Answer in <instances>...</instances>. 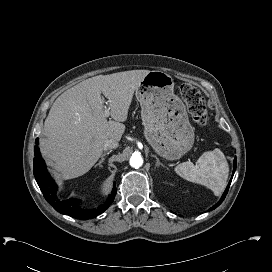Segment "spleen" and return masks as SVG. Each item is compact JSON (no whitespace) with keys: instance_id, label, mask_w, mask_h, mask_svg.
<instances>
[{"instance_id":"spleen-1","label":"spleen","mask_w":272,"mask_h":272,"mask_svg":"<svg viewBox=\"0 0 272 272\" xmlns=\"http://www.w3.org/2000/svg\"><path fill=\"white\" fill-rule=\"evenodd\" d=\"M175 172L187 181L206 186L219 196L226 186L229 167L224 154L216 148L204 152L197 165L183 162L175 167Z\"/></svg>"}]
</instances>
